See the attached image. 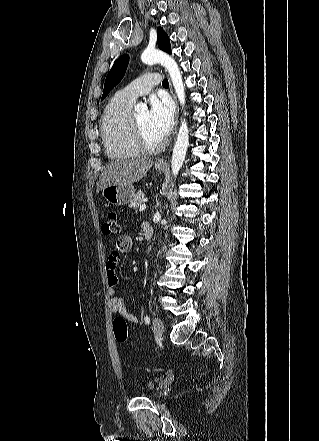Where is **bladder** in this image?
Instances as JSON below:
<instances>
[{
  "instance_id": "1",
  "label": "bladder",
  "mask_w": 319,
  "mask_h": 441,
  "mask_svg": "<svg viewBox=\"0 0 319 441\" xmlns=\"http://www.w3.org/2000/svg\"><path fill=\"white\" fill-rule=\"evenodd\" d=\"M147 389L149 394H154L157 390V386L154 382H150L147 386Z\"/></svg>"
}]
</instances>
